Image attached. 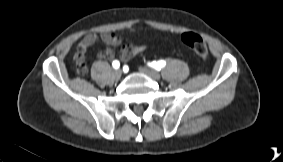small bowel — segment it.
<instances>
[{
  "mask_svg": "<svg viewBox=\"0 0 283 162\" xmlns=\"http://www.w3.org/2000/svg\"><path fill=\"white\" fill-rule=\"evenodd\" d=\"M99 42L105 43L106 45L110 46L99 54L100 59H111L114 56V51L111 47L122 45L123 39L120 36L112 34V33L87 34L79 42L76 48V51L74 53V60L80 59L84 62V55L86 54L88 49L92 45L99 43ZM147 48H148V45L134 46L132 44H124L122 46L120 58L121 60L125 61L129 59L130 57L140 52H143ZM85 71H86V65H85L84 72Z\"/></svg>",
  "mask_w": 283,
  "mask_h": 162,
  "instance_id": "1",
  "label": "small bowel"
}]
</instances>
